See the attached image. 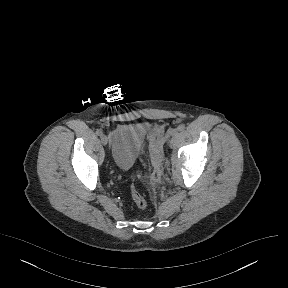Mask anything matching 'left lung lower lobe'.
Segmentation results:
<instances>
[{
	"label": "left lung lower lobe",
	"mask_w": 288,
	"mask_h": 288,
	"mask_svg": "<svg viewBox=\"0 0 288 288\" xmlns=\"http://www.w3.org/2000/svg\"><path fill=\"white\" fill-rule=\"evenodd\" d=\"M266 209L267 203L263 197H260L247 215V218H250L253 215H257L255 221L251 223L250 227L248 228L251 232L256 233L263 229L266 222Z\"/></svg>",
	"instance_id": "obj_1"
}]
</instances>
